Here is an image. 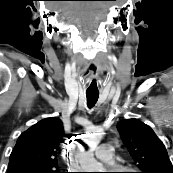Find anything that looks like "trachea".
<instances>
[{
  "mask_svg": "<svg viewBox=\"0 0 173 173\" xmlns=\"http://www.w3.org/2000/svg\"><path fill=\"white\" fill-rule=\"evenodd\" d=\"M86 97H87L88 107L92 108L96 104V102L98 100V97H99V94H96V93H86Z\"/></svg>",
  "mask_w": 173,
  "mask_h": 173,
  "instance_id": "obj_1",
  "label": "trachea"
}]
</instances>
